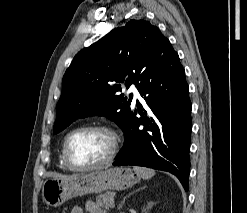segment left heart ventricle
Instances as JSON below:
<instances>
[{
    "mask_svg": "<svg viewBox=\"0 0 247 213\" xmlns=\"http://www.w3.org/2000/svg\"><path fill=\"white\" fill-rule=\"evenodd\" d=\"M112 148V138L102 131H85L70 141L69 153L79 165H92L107 158Z\"/></svg>",
    "mask_w": 247,
    "mask_h": 213,
    "instance_id": "left-heart-ventricle-1",
    "label": "left heart ventricle"
}]
</instances>
